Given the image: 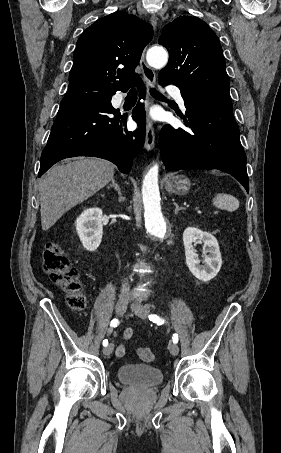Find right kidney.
Wrapping results in <instances>:
<instances>
[{"label":"right kidney","instance_id":"right-kidney-1","mask_svg":"<svg viewBox=\"0 0 281 453\" xmlns=\"http://www.w3.org/2000/svg\"><path fill=\"white\" fill-rule=\"evenodd\" d=\"M78 237L86 251H96L103 237L101 208H86L76 222Z\"/></svg>","mask_w":281,"mask_h":453}]
</instances>
